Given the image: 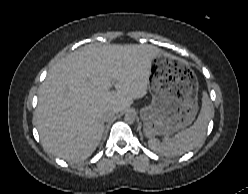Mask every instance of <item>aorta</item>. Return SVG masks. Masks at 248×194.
Wrapping results in <instances>:
<instances>
[{
	"instance_id": "obj_1",
	"label": "aorta",
	"mask_w": 248,
	"mask_h": 194,
	"mask_svg": "<svg viewBox=\"0 0 248 194\" xmlns=\"http://www.w3.org/2000/svg\"><path fill=\"white\" fill-rule=\"evenodd\" d=\"M135 118H136V116L134 113H127V114H125L124 120H125V122L132 124V123H134Z\"/></svg>"
}]
</instances>
